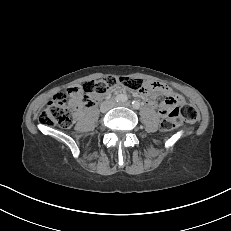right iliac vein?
<instances>
[{"label":"right iliac vein","mask_w":231,"mask_h":231,"mask_svg":"<svg viewBox=\"0 0 231 231\" xmlns=\"http://www.w3.org/2000/svg\"><path fill=\"white\" fill-rule=\"evenodd\" d=\"M114 106V103L109 104L108 109L112 108Z\"/></svg>","instance_id":"right-iliac-vein-1"}]
</instances>
